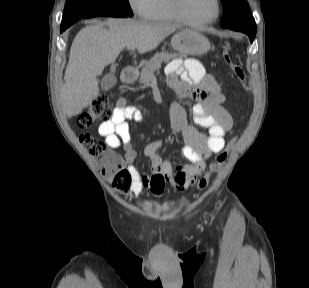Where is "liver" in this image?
<instances>
[{
	"label": "liver",
	"instance_id": "liver-1",
	"mask_svg": "<svg viewBox=\"0 0 309 288\" xmlns=\"http://www.w3.org/2000/svg\"><path fill=\"white\" fill-rule=\"evenodd\" d=\"M177 26L133 19L95 21L81 29L73 40L60 92L64 113L78 115L99 94L98 77L125 47L144 54L154 50Z\"/></svg>",
	"mask_w": 309,
	"mask_h": 288
}]
</instances>
